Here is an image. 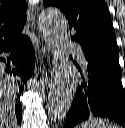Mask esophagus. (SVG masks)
Returning a JSON list of instances; mask_svg holds the SVG:
<instances>
[{
    "label": "esophagus",
    "instance_id": "esophagus-1",
    "mask_svg": "<svg viewBox=\"0 0 125 128\" xmlns=\"http://www.w3.org/2000/svg\"><path fill=\"white\" fill-rule=\"evenodd\" d=\"M28 20L31 24V27L34 28L35 27V17H34V14H33V8H30V10H29Z\"/></svg>",
    "mask_w": 125,
    "mask_h": 128
}]
</instances>
